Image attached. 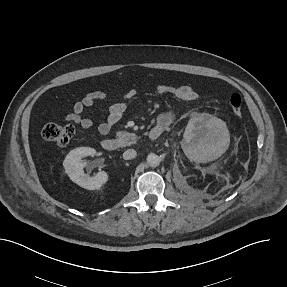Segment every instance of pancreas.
Listing matches in <instances>:
<instances>
[{
  "label": "pancreas",
  "instance_id": "cf45deb5",
  "mask_svg": "<svg viewBox=\"0 0 287 287\" xmlns=\"http://www.w3.org/2000/svg\"><path fill=\"white\" fill-rule=\"evenodd\" d=\"M116 136L123 146L135 144L138 138L134 133H129L126 131H118Z\"/></svg>",
  "mask_w": 287,
  "mask_h": 287
}]
</instances>
